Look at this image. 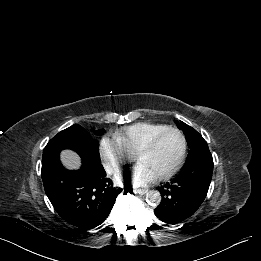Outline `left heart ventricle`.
<instances>
[{
  "label": "left heart ventricle",
  "mask_w": 261,
  "mask_h": 261,
  "mask_svg": "<svg viewBox=\"0 0 261 261\" xmlns=\"http://www.w3.org/2000/svg\"><path fill=\"white\" fill-rule=\"evenodd\" d=\"M181 139L170 132L162 136L155 147L141 156L138 162L146 166L156 177L170 171L177 163L181 153Z\"/></svg>",
  "instance_id": "1"
}]
</instances>
